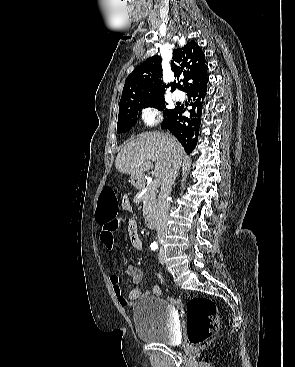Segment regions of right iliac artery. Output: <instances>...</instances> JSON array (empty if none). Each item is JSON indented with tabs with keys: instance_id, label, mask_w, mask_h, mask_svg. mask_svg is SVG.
<instances>
[{
	"instance_id": "1",
	"label": "right iliac artery",
	"mask_w": 295,
	"mask_h": 367,
	"mask_svg": "<svg viewBox=\"0 0 295 367\" xmlns=\"http://www.w3.org/2000/svg\"><path fill=\"white\" fill-rule=\"evenodd\" d=\"M150 248H151V250H156V249L158 248V246H157L156 244H152V245L150 246Z\"/></svg>"
}]
</instances>
